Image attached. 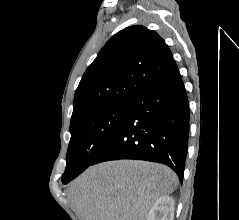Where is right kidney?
I'll return each mask as SVG.
<instances>
[{
    "label": "right kidney",
    "mask_w": 239,
    "mask_h": 220,
    "mask_svg": "<svg viewBox=\"0 0 239 220\" xmlns=\"http://www.w3.org/2000/svg\"><path fill=\"white\" fill-rule=\"evenodd\" d=\"M174 199L169 196H161L151 207L147 220H173Z\"/></svg>",
    "instance_id": "obj_1"
}]
</instances>
